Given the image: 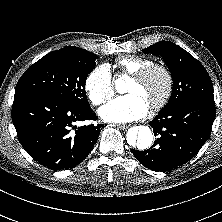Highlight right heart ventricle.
I'll list each match as a JSON object with an SVG mask.
<instances>
[{"mask_svg": "<svg viewBox=\"0 0 222 222\" xmlns=\"http://www.w3.org/2000/svg\"><path fill=\"white\" fill-rule=\"evenodd\" d=\"M152 60L143 57L129 56L119 59L116 65L120 69V73L123 75H133L142 68L151 65Z\"/></svg>", "mask_w": 222, "mask_h": 222, "instance_id": "obj_1", "label": "right heart ventricle"}]
</instances>
